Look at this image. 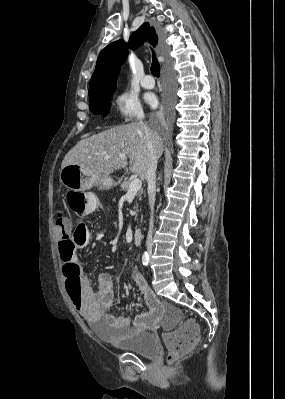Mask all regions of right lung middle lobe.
Listing matches in <instances>:
<instances>
[{
    "mask_svg": "<svg viewBox=\"0 0 285 399\" xmlns=\"http://www.w3.org/2000/svg\"><path fill=\"white\" fill-rule=\"evenodd\" d=\"M114 92L104 93L90 99V111L94 114L106 116L109 113L110 100Z\"/></svg>",
    "mask_w": 285,
    "mask_h": 399,
    "instance_id": "dd1d6c3e",
    "label": "right lung middle lobe"
}]
</instances>
